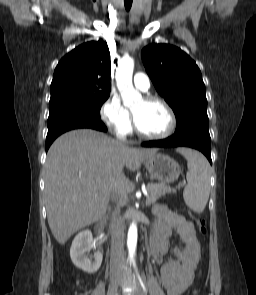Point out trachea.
I'll use <instances>...</instances> for the list:
<instances>
[{
	"mask_svg": "<svg viewBox=\"0 0 256 295\" xmlns=\"http://www.w3.org/2000/svg\"><path fill=\"white\" fill-rule=\"evenodd\" d=\"M124 5L126 10L129 11L132 6V0H124Z\"/></svg>",
	"mask_w": 256,
	"mask_h": 295,
	"instance_id": "trachea-1",
	"label": "trachea"
}]
</instances>
